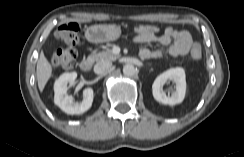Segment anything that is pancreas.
<instances>
[{"label": "pancreas", "mask_w": 244, "mask_h": 157, "mask_svg": "<svg viewBox=\"0 0 244 157\" xmlns=\"http://www.w3.org/2000/svg\"><path fill=\"white\" fill-rule=\"evenodd\" d=\"M120 56L115 55L112 53L111 50L107 49L103 52L93 53L90 55V58L94 61L101 62V61H114L118 59Z\"/></svg>", "instance_id": "pancreas-1"}]
</instances>
